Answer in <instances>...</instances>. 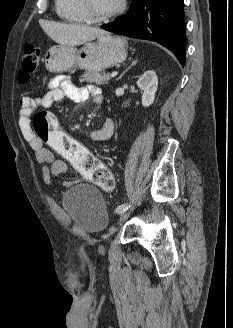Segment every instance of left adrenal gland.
<instances>
[{
	"label": "left adrenal gland",
	"instance_id": "a2214340",
	"mask_svg": "<svg viewBox=\"0 0 233 328\" xmlns=\"http://www.w3.org/2000/svg\"><path fill=\"white\" fill-rule=\"evenodd\" d=\"M136 63H137V60H135V61H133L132 62V64L127 68V69H125V71L117 78V81L118 80H120L122 77H123V75L133 66V65H136Z\"/></svg>",
	"mask_w": 233,
	"mask_h": 328
}]
</instances>
